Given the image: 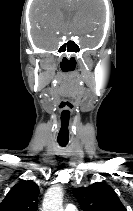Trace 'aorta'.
<instances>
[{
    "mask_svg": "<svg viewBox=\"0 0 133 211\" xmlns=\"http://www.w3.org/2000/svg\"><path fill=\"white\" fill-rule=\"evenodd\" d=\"M63 189L56 185L51 187L43 199L42 211H62Z\"/></svg>",
    "mask_w": 133,
    "mask_h": 211,
    "instance_id": "1",
    "label": "aorta"
}]
</instances>
